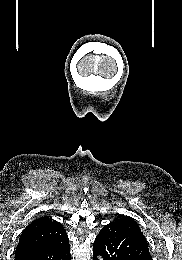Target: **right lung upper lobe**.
Listing matches in <instances>:
<instances>
[{"label":"right lung upper lobe","mask_w":182,"mask_h":260,"mask_svg":"<svg viewBox=\"0 0 182 260\" xmlns=\"http://www.w3.org/2000/svg\"><path fill=\"white\" fill-rule=\"evenodd\" d=\"M68 240L64 227L48 217L32 221L22 232L15 256L29 251L54 246Z\"/></svg>","instance_id":"right-lung-upper-lobe-1"}]
</instances>
